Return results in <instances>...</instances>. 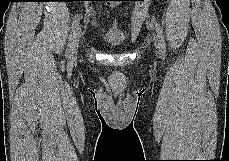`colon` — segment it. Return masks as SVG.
I'll return each mask as SVG.
<instances>
[{
	"label": "colon",
	"mask_w": 229,
	"mask_h": 161,
	"mask_svg": "<svg viewBox=\"0 0 229 161\" xmlns=\"http://www.w3.org/2000/svg\"><path fill=\"white\" fill-rule=\"evenodd\" d=\"M134 1H144V0H134Z\"/></svg>",
	"instance_id": "5ec220e1"
}]
</instances>
